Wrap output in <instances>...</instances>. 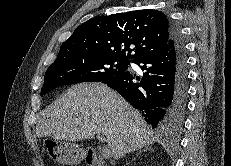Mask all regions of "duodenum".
<instances>
[{
    "instance_id": "obj_1",
    "label": "duodenum",
    "mask_w": 231,
    "mask_h": 166,
    "mask_svg": "<svg viewBox=\"0 0 231 166\" xmlns=\"http://www.w3.org/2000/svg\"><path fill=\"white\" fill-rule=\"evenodd\" d=\"M83 161L87 166H104L102 157L93 151H87Z\"/></svg>"
}]
</instances>
